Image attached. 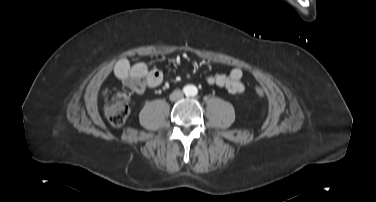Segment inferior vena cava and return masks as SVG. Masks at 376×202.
<instances>
[{
    "label": "inferior vena cava",
    "instance_id": "1",
    "mask_svg": "<svg viewBox=\"0 0 376 202\" xmlns=\"http://www.w3.org/2000/svg\"><path fill=\"white\" fill-rule=\"evenodd\" d=\"M183 97V92L181 90H175L171 95V100H178Z\"/></svg>",
    "mask_w": 376,
    "mask_h": 202
}]
</instances>
